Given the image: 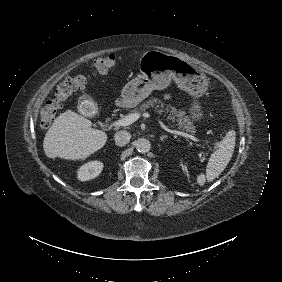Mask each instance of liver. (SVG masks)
<instances>
[{"label":"liver","instance_id":"1","mask_svg":"<svg viewBox=\"0 0 282 282\" xmlns=\"http://www.w3.org/2000/svg\"><path fill=\"white\" fill-rule=\"evenodd\" d=\"M91 125V121L75 112L61 114L44 138L46 155L73 159L83 158L98 150L106 142L107 135Z\"/></svg>","mask_w":282,"mask_h":282}]
</instances>
